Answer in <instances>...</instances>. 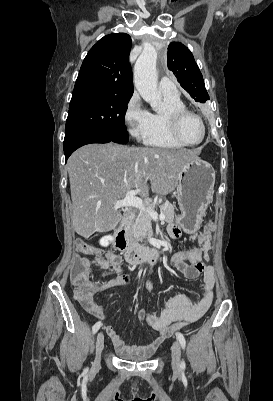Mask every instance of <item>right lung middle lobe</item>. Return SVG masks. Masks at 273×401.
Wrapping results in <instances>:
<instances>
[{"instance_id": "dd1d6c3e", "label": "right lung middle lobe", "mask_w": 273, "mask_h": 401, "mask_svg": "<svg viewBox=\"0 0 273 401\" xmlns=\"http://www.w3.org/2000/svg\"><path fill=\"white\" fill-rule=\"evenodd\" d=\"M130 98L98 94L72 96L65 137L91 133L116 143H127L125 113Z\"/></svg>"}]
</instances>
